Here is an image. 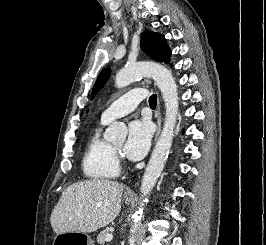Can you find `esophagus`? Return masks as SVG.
Wrapping results in <instances>:
<instances>
[{
  "label": "esophagus",
  "instance_id": "1",
  "mask_svg": "<svg viewBox=\"0 0 266 245\" xmlns=\"http://www.w3.org/2000/svg\"><path fill=\"white\" fill-rule=\"evenodd\" d=\"M156 118H157V132H156V135H155V141H157L158 138H159V135L161 133V124H162L160 108H159V102H158V110H157ZM126 193H127V195H133L134 194V192H133V190L131 188L128 189Z\"/></svg>",
  "mask_w": 266,
  "mask_h": 245
}]
</instances>
